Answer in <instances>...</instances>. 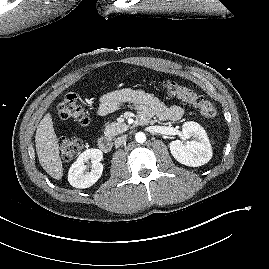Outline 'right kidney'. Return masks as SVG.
Here are the masks:
<instances>
[{
    "label": "right kidney",
    "instance_id": "right-kidney-1",
    "mask_svg": "<svg viewBox=\"0 0 269 269\" xmlns=\"http://www.w3.org/2000/svg\"><path fill=\"white\" fill-rule=\"evenodd\" d=\"M103 153L99 149H88L81 153L77 160L72 164L68 172V181L75 188H88L95 184L101 177L103 165L100 161ZM91 160L92 168L86 171V163Z\"/></svg>",
    "mask_w": 269,
    "mask_h": 269
}]
</instances>
